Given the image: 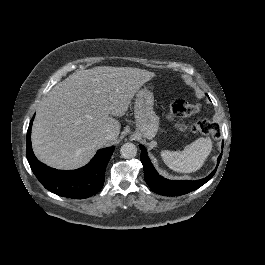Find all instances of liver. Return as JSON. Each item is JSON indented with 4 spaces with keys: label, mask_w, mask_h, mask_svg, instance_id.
<instances>
[{
    "label": "liver",
    "mask_w": 265,
    "mask_h": 265,
    "mask_svg": "<svg viewBox=\"0 0 265 265\" xmlns=\"http://www.w3.org/2000/svg\"><path fill=\"white\" fill-rule=\"evenodd\" d=\"M155 75L135 67L95 66L57 83L37 111L31 129L35 157L57 170H76L117 140L120 122L136 91ZM107 129L114 138L106 140Z\"/></svg>",
    "instance_id": "liver-1"
}]
</instances>
